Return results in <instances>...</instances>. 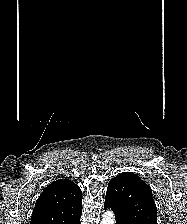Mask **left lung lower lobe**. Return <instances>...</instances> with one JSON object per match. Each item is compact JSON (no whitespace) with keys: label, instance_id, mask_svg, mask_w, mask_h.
<instances>
[{"label":"left lung lower lobe","instance_id":"obj_1","mask_svg":"<svg viewBox=\"0 0 187 224\" xmlns=\"http://www.w3.org/2000/svg\"><path fill=\"white\" fill-rule=\"evenodd\" d=\"M107 208H111L114 213H115V219H116V224H129L128 222H126L124 220V218L117 213V211L115 210L113 204L108 200V199H105V203H104V209H107Z\"/></svg>","mask_w":187,"mask_h":224}]
</instances>
